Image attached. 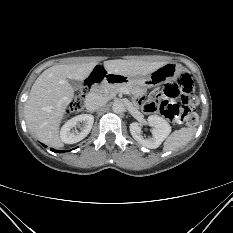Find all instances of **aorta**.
<instances>
[{
  "label": "aorta",
  "mask_w": 233,
  "mask_h": 233,
  "mask_svg": "<svg viewBox=\"0 0 233 233\" xmlns=\"http://www.w3.org/2000/svg\"><path fill=\"white\" fill-rule=\"evenodd\" d=\"M114 113H122L124 111V104L122 102H114L112 106Z\"/></svg>",
  "instance_id": "1"
}]
</instances>
